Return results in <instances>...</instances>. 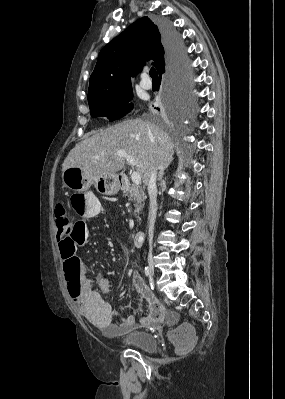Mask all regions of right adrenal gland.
<instances>
[{
  "label": "right adrenal gland",
  "mask_w": 285,
  "mask_h": 399,
  "mask_svg": "<svg viewBox=\"0 0 285 399\" xmlns=\"http://www.w3.org/2000/svg\"><path fill=\"white\" fill-rule=\"evenodd\" d=\"M166 168H167V167L160 169L159 174H158V181H161V180H162V178H163V176H164V174H165V169H166Z\"/></svg>",
  "instance_id": "obj_1"
}]
</instances>
